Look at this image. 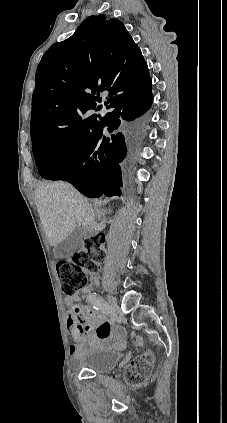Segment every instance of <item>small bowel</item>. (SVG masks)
Here are the masks:
<instances>
[{"label": "small bowel", "mask_w": 227, "mask_h": 423, "mask_svg": "<svg viewBox=\"0 0 227 423\" xmlns=\"http://www.w3.org/2000/svg\"><path fill=\"white\" fill-rule=\"evenodd\" d=\"M78 298L77 295L68 297L67 303ZM67 325L75 342L70 346L72 356H79L88 349H94L113 342L115 346L123 343V329L114 327L104 316L89 308L73 306L67 314Z\"/></svg>", "instance_id": "1"}]
</instances>
